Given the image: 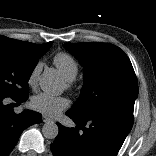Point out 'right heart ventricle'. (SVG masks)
Here are the masks:
<instances>
[{
    "label": "right heart ventricle",
    "mask_w": 156,
    "mask_h": 156,
    "mask_svg": "<svg viewBox=\"0 0 156 156\" xmlns=\"http://www.w3.org/2000/svg\"><path fill=\"white\" fill-rule=\"evenodd\" d=\"M53 63L67 81H72L78 74L79 66L68 53L59 52L53 57Z\"/></svg>",
    "instance_id": "e07e8e85"
}]
</instances>
